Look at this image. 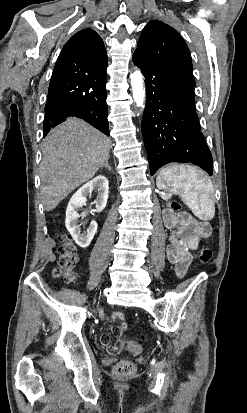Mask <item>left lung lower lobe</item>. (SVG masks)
Returning <instances> with one entry per match:
<instances>
[{
	"mask_svg": "<svg viewBox=\"0 0 247 413\" xmlns=\"http://www.w3.org/2000/svg\"><path fill=\"white\" fill-rule=\"evenodd\" d=\"M133 62L145 77L142 134L151 175L170 162L193 163L212 175V155L195 110V85L145 56L134 53Z\"/></svg>",
	"mask_w": 247,
	"mask_h": 413,
	"instance_id": "1",
	"label": "left lung lower lobe"
}]
</instances>
